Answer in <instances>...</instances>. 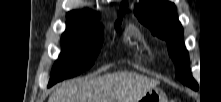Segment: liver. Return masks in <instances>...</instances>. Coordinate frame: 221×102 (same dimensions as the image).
Returning a JSON list of instances; mask_svg holds the SVG:
<instances>
[{
	"instance_id": "6515ba94",
	"label": "liver",
	"mask_w": 221,
	"mask_h": 102,
	"mask_svg": "<svg viewBox=\"0 0 221 102\" xmlns=\"http://www.w3.org/2000/svg\"><path fill=\"white\" fill-rule=\"evenodd\" d=\"M158 81L130 72H114L63 84L48 102H135Z\"/></svg>"
}]
</instances>
